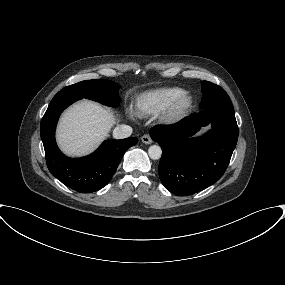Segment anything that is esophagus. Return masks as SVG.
<instances>
[{
  "label": "esophagus",
  "mask_w": 285,
  "mask_h": 285,
  "mask_svg": "<svg viewBox=\"0 0 285 285\" xmlns=\"http://www.w3.org/2000/svg\"><path fill=\"white\" fill-rule=\"evenodd\" d=\"M141 141L144 143V144H151L152 143V138L150 137V135L148 134H145L141 137Z\"/></svg>",
  "instance_id": "1"
}]
</instances>
